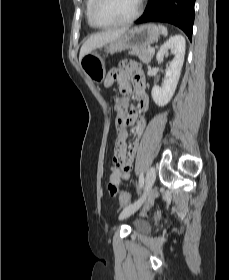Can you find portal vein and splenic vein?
<instances>
[{
	"label": "portal vein and splenic vein",
	"mask_w": 229,
	"mask_h": 280,
	"mask_svg": "<svg viewBox=\"0 0 229 280\" xmlns=\"http://www.w3.org/2000/svg\"><path fill=\"white\" fill-rule=\"evenodd\" d=\"M149 52H150V53H154L155 50H154L153 48H149Z\"/></svg>",
	"instance_id": "1"
}]
</instances>
